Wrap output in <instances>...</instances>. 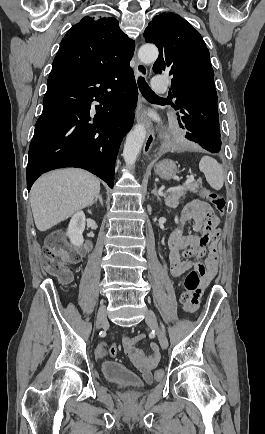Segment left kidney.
Segmentation results:
<instances>
[{
    "instance_id": "obj_1",
    "label": "left kidney",
    "mask_w": 265,
    "mask_h": 434,
    "mask_svg": "<svg viewBox=\"0 0 265 434\" xmlns=\"http://www.w3.org/2000/svg\"><path fill=\"white\" fill-rule=\"evenodd\" d=\"M175 222H176V224H178V218H175Z\"/></svg>"
}]
</instances>
